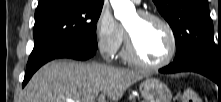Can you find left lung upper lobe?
Instances as JSON below:
<instances>
[{"instance_id": "left-lung-upper-lobe-1", "label": "left lung upper lobe", "mask_w": 221, "mask_h": 102, "mask_svg": "<svg viewBox=\"0 0 221 102\" xmlns=\"http://www.w3.org/2000/svg\"><path fill=\"white\" fill-rule=\"evenodd\" d=\"M171 26L178 60L199 56L221 69V49H216L207 0H153Z\"/></svg>"}]
</instances>
